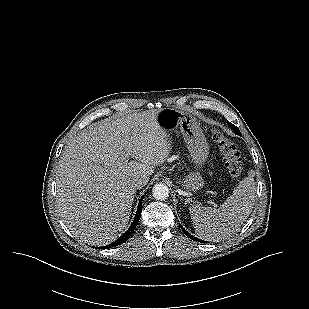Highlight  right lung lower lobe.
Here are the masks:
<instances>
[{
    "mask_svg": "<svg viewBox=\"0 0 309 309\" xmlns=\"http://www.w3.org/2000/svg\"><path fill=\"white\" fill-rule=\"evenodd\" d=\"M143 198H144V196L139 201L135 219L132 222L129 229L122 236H120L115 242L105 246L104 248H111V247L121 245L122 243H124L125 241H127L130 238V236L133 233V231L135 230V227H136V225H137V223L140 219V216H141V210H142V202L141 201H142Z\"/></svg>",
    "mask_w": 309,
    "mask_h": 309,
    "instance_id": "right-lung-lower-lobe-1",
    "label": "right lung lower lobe"
}]
</instances>
